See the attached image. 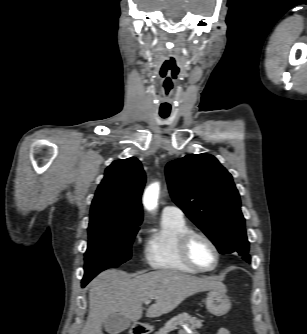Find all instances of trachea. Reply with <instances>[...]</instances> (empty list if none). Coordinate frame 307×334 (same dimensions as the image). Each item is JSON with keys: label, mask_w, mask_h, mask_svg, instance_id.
<instances>
[{"label": "trachea", "mask_w": 307, "mask_h": 334, "mask_svg": "<svg viewBox=\"0 0 307 334\" xmlns=\"http://www.w3.org/2000/svg\"><path fill=\"white\" fill-rule=\"evenodd\" d=\"M161 117H162V118H167V117H168V115H161Z\"/></svg>", "instance_id": "trachea-1"}]
</instances>
